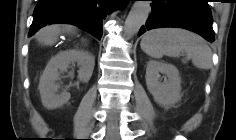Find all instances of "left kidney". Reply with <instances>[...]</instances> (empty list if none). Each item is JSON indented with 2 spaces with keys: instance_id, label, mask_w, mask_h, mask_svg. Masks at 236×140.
Listing matches in <instances>:
<instances>
[{
  "instance_id": "5707ae66",
  "label": "left kidney",
  "mask_w": 236,
  "mask_h": 140,
  "mask_svg": "<svg viewBox=\"0 0 236 140\" xmlns=\"http://www.w3.org/2000/svg\"><path fill=\"white\" fill-rule=\"evenodd\" d=\"M159 73L167 77L163 83L159 81ZM145 78L148 91L159 105L168 107L181 99V79L174 65L150 60L147 63Z\"/></svg>"
}]
</instances>
